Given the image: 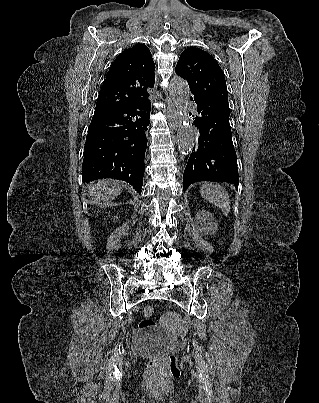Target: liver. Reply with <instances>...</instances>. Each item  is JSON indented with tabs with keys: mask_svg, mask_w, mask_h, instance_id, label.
<instances>
[{
	"mask_svg": "<svg viewBox=\"0 0 319 403\" xmlns=\"http://www.w3.org/2000/svg\"><path fill=\"white\" fill-rule=\"evenodd\" d=\"M89 197L97 203L98 201H109L115 199L122 192V188L117 181L100 180L89 187Z\"/></svg>",
	"mask_w": 319,
	"mask_h": 403,
	"instance_id": "1",
	"label": "liver"
}]
</instances>
